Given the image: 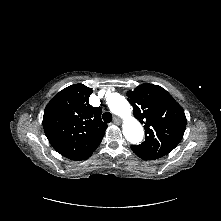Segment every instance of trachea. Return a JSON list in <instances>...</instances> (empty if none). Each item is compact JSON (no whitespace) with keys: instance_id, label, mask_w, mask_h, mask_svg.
Returning a JSON list of instances; mask_svg holds the SVG:
<instances>
[{"instance_id":"1","label":"trachea","mask_w":221,"mask_h":221,"mask_svg":"<svg viewBox=\"0 0 221 221\" xmlns=\"http://www.w3.org/2000/svg\"><path fill=\"white\" fill-rule=\"evenodd\" d=\"M102 118H103V120H104L106 123H109V122L112 121L113 116H112L111 113L105 112V113H103Z\"/></svg>"}]
</instances>
